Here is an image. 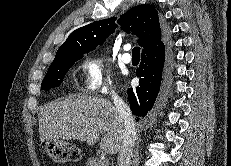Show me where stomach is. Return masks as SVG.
<instances>
[{"label": "stomach", "instance_id": "1", "mask_svg": "<svg viewBox=\"0 0 231 166\" xmlns=\"http://www.w3.org/2000/svg\"><path fill=\"white\" fill-rule=\"evenodd\" d=\"M46 149L50 157L58 163L78 161L82 157L78 147L61 139L46 141Z\"/></svg>", "mask_w": 231, "mask_h": 166}]
</instances>
